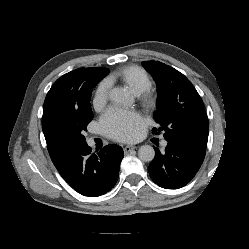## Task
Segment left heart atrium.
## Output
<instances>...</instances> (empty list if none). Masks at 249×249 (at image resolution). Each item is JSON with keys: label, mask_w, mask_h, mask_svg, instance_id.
<instances>
[{"label": "left heart atrium", "mask_w": 249, "mask_h": 249, "mask_svg": "<svg viewBox=\"0 0 249 249\" xmlns=\"http://www.w3.org/2000/svg\"><path fill=\"white\" fill-rule=\"evenodd\" d=\"M101 127L107 136L118 141L136 140L143 132V123L137 115L114 107L102 116Z\"/></svg>", "instance_id": "obj_1"}]
</instances>
